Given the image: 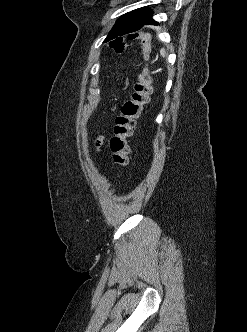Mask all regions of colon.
Instances as JSON below:
<instances>
[{
    "mask_svg": "<svg viewBox=\"0 0 247 332\" xmlns=\"http://www.w3.org/2000/svg\"><path fill=\"white\" fill-rule=\"evenodd\" d=\"M129 40H138L141 45V58L144 62L134 91L129 100L123 103L120 114L115 118L114 136L110 139V148L113 153V162L116 166L117 175L120 177L129 164L130 146L128 139L133 133L137 119L145 105L150 100L152 93L153 75L149 66L151 53V36L142 31H133L128 36ZM110 46L116 52H122L125 48V40L117 38Z\"/></svg>",
    "mask_w": 247,
    "mask_h": 332,
    "instance_id": "obj_1",
    "label": "colon"
}]
</instances>
